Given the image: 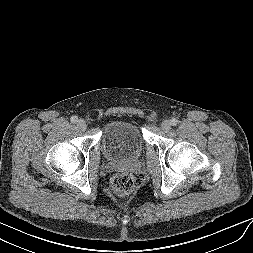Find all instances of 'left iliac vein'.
<instances>
[{"instance_id": "obj_1", "label": "left iliac vein", "mask_w": 253, "mask_h": 253, "mask_svg": "<svg viewBox=\"0 0 253 253\" xmlns=\"http://www.w3.org/2000/svg\"><path fill=\"white\" fill-rule=\"evenodd\" d=\"M161 129H162L164 132H168V131L171 129V123H170L168 120H164V121L161 123Z\"/></svg>"}]
</instances>
